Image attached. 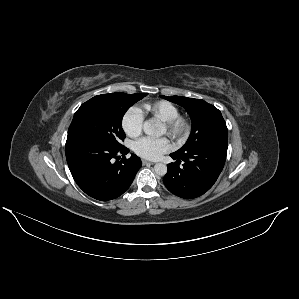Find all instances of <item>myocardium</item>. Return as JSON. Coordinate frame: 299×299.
<instances>
[{
  "label": "myocardium",
  "mask_w": 299,
  "mask_h": 299,
  "mask_svg": "<svg viewBox=\"0 0 299 299\" xmlns=\"http://www.w3.org/2000/svg\"><path fill=\"white\" fill-rule=\"evenodd\" d=\"M167 134L175 140H184L190 133V121L183 117L177 116L171 121L164 122Z\"/></svg>",
  "instance_id": "obj_1"
}]
</instances>
